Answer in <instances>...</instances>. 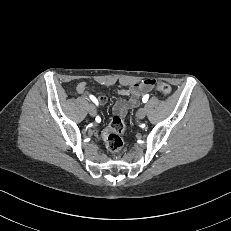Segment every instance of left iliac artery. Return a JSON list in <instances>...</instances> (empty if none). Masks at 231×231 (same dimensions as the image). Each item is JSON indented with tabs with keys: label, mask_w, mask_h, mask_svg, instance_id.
I'll list each match as a JSON object with an SVG mask.
<instances>
[{
	"label": "left iliac artery",
	"mask_w": 231,
	"mask_h": 231,
	"mask_svg": "<svg viewBox=\"0 0 231 231\" xmlns=\"http://www.w3.org/2000/svg\"><path fill=\"white\" fill-rule=\"evenodd\" d=\"M148 98H149V95L146 94V95H144V97L142 98V101H143V102H147Z\"/></svg>",
	"instance_id": "left-iliac-artery-1"
}]
</instances>
